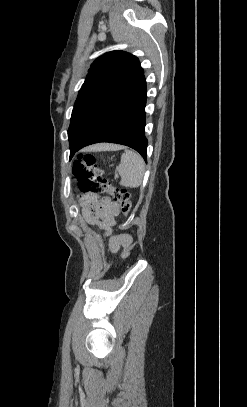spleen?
<instances>
[{
    "mask_svg": "<svg viewBox=\"0 0 247 407\" xmlns=\"http://www.w3.org/2000/svg\"><path fill=\"white\" fill-rule=\"evenodd\" d=\"M144 167V160L138 153L125 149L117 169L121 177L120 185L128 188L139 187L143 180Z\"/></svg>",
    "mask_w": 247,
    "mask_h": 407,
    "instance_id": "obj_1",
    "label": "spleen"
}]
</instances>
